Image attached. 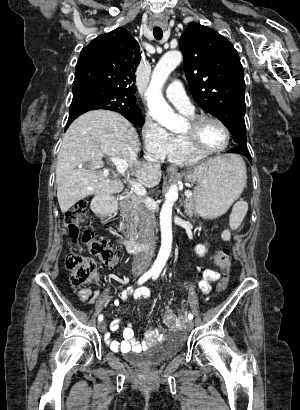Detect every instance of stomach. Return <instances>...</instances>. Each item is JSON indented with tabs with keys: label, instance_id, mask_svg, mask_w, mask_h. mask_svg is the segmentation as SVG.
<instances>
[{
	"label": "stomach",
	"instance_id": "1",
	"mask_svg": "<svg viewBox=\"0 0 300 410\" xmlns=\"http://www.w3.org/2000/svg\"><path fill=\"white\" fill-rule=\"evenodd\" d=\"M241 164L242 159L234 155L232 160L198 166L187 176L188 180L197 184L194 200L201 216L207 219L218 218L239 197L246 184Z\"/></svg>",
	"mask_w": 300,
	"mask_h": 410
}]
</instances>
